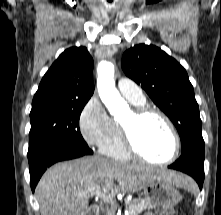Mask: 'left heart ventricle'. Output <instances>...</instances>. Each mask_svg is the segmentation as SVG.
I'll use <instances>...</instances> for the list:
<instances>
[{"label": "left heart ventricle", "instance_id": "b2bd125f", "mask_svg": "<svg viewBox=\"0 0 221 215\" xmlns=\"http://www.w3.org/2000/svg\"><path fill=\"white\" fill-rule=\"evenodd\" d=\"M122 122L131 124L135 143L139 150L155 161L168 159L173 152V138L166 124L156 115H149L132 122L129 113Z\"/></svg>", "mask_w": 221, "mask_h": 215}]
</instances>
